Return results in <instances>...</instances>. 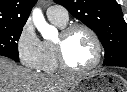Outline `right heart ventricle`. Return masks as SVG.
Instances as JSON below:
<instances>
[{
    "label": "right heart ventricle",
    "mask_w": 127,
    "mask_h": 92,
    "mask_svg": "<svg viewBox=\"0 0 127 92\" xmlns=\"http://www.w3.org/2000/svg\"><path fill=\"white\" fill-rule=\"evenodd\" d=\"M49 20L53 25H55L58 28H64L67 25V21H62L50 17ZM42 46H43V61L41 64V68L39 70L49 74H53L60 71V68L56 60L53 42L49 40H44L42 42Z\"/></svg>",
    "instance_id": "1"
}]
</instances>
